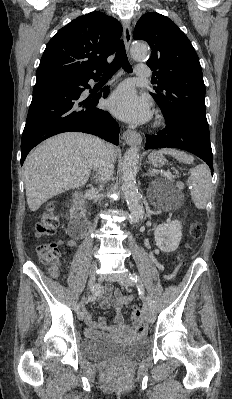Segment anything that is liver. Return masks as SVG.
I'll return each mask as SVG.
<instances>
[{
  "label": "liver",
  "mask_w": 232,
  "mask_h": 399,
  "mask_svg": "<svg viewBox=\"0 0 232 399\" xmlns=\"http://www.w3.org/2000/svg\"><path fill=\"white\" fill-rule=\"evenodd\" d=\"M102 148V140L95 136L67 132L45 140L30 152L23 172L31 211L39 209L44 201L53 196L84 186ZM106 148L116 160L115 146L107 144Z\"/></svg>",
  "instance_id": "6515ba94"
}]
</instances>
